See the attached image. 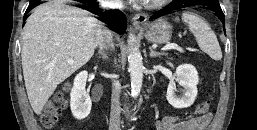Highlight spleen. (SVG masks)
Here are the masks:
<instances>
[{"label":"spleen","instance_id":"3e777b00","mask_svg":"<svg viewBox=\"0 0 257 130\" xmlns=\"http://www.w3.org/2000/svg\"><path fill=\"white\" fill-rule=\"evenodd\" d=\"M182 20L189 26V30L195 36L199 48L213 60H221V48L217 37L209 24L203 18L190 11L183 12Z\"/></svg>","mask_w":257,"mask_h":130}]
</instances>
